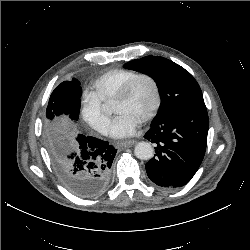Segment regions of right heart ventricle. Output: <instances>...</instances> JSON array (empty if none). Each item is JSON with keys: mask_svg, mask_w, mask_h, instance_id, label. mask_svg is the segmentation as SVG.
Wrapping results in <instances>:
<instances>
[{"mask_svg": "<svg viewBox=\"0 0 250 250\" xmlns=\"http://www.w3.org/2000/svg\"><path fill=\"white\" fill-rule=\"evenodd\" d=\"M138 73L128 69H112L96 78L90 87L89 94L101 105L113 103L121 88Z\"/></svg>", "mask_w": 250, "mask_h": 250, "instance_id": "obj_1", "label": "right heart ventricle"}]
</instances>
